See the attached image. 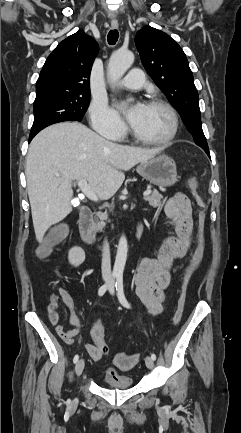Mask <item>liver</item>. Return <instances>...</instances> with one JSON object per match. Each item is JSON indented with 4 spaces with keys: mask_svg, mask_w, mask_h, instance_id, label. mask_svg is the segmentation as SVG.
<instances>
[{
    "mask_svg": "<svg viewBox=\"0 0 241 433\" xmlns=\"http://www.w3.org/2000/svg\"><path fill=\"white\" fill-rule=\"evenodd\" d=\"M161 149L110 142L77 122L54 124L38 133L26 157L27 191L37 241L72 212V181L86 180L101 200L111 198L125 175Z\"/></svg>",
    "mask_w": 241,
    "mask_h": 433,
    "instance_id": "obj_1",
    "label": "liver"
}]
</instances>
